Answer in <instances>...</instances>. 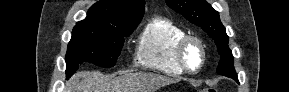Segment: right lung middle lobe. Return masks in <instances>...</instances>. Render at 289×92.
<instances>
[{"label":"right lung middle lobe","mask_w":289,"mask_h":92,"mask_svg":"<svg viewBox=\"0 0 289 92\" xmlns=\"http://www.w3.org/2000/svg\"><path fill=\"white\" fill-rule=\"evenodd\" d=\"M137 25L120 28L75 26L66 54V76H71L78 65L90 62L101 67H113L120 55L124 37Z\"/></svg>","instance_id":"obj_1"}]
</instances>
